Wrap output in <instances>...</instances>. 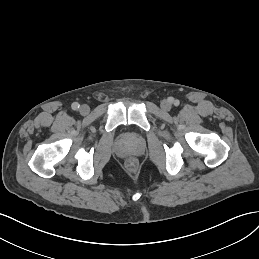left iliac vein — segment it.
<instances>
[{
    "instance_id": "left-iliac-vein-1",
    "label": "left iliac vein",
    "mask_w": 259,
    "mask_h": 259,
    "mask_svg": "<svg viewBox=\"0 0 259 259\" xmlns=\"http://www.w3.org/2000/svg\"><path fill=\"white\" fill-rule=\"evenodd\" d=\"M161 108L164 110V111H169L171 109V102L168 101V100H163L161 102Z\"/></svg>"
}]
</instances>
